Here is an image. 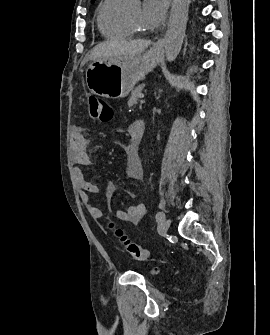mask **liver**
Returning <instances> with one entry per match:
<instances>
[{
    "mask_svg": "<svg viewBox=\"0 0 270 335\" xmlns=\"http://www.w3.org/2000/svg\"><path fill=\"white\" fill-rule=\"evenodd\" d=\"M150 40H132V42H101L93 48L89 58L90 60H101V58H117V56H136V54H142L148 46H150Z\"/></svg>",
    "mask_w": 270,
    "mask_h": 335,
    "instance_id": "6515ba94",
    "label": "liver"
}]
</instances>
